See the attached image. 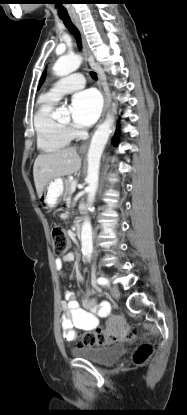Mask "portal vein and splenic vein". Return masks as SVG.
<instances>
[{
    "label": "portal vein and splenic vein",
    "mask_w": 187,
    "mask_h": 415,
    "mask_svg": "<svg viewBox=\"0 0 187 415\" xmlns=\"http://www.w3.org/2000/svg\"><path fill=\"white\" fill-rule=\"evenodd\" d=\"M76 185H77V180H74L72 182V185H71V191H72V193L76 190Z\"/></svg>",
    "instance_id": "portal-vein-and-splenic-vein-1"
}]
</instances>
